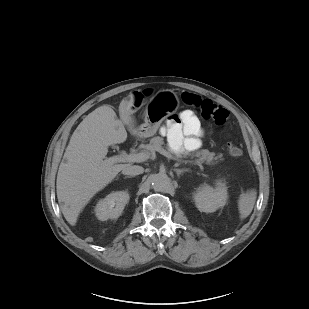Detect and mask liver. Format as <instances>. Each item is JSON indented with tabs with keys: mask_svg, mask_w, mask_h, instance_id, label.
I'll return each instance as SVG.
<instances>
[{
	"mask_svg": "<svg viewBox=\"0 0 309 309\" xmlns=\"http://www.w3.org/2000/svg\"><path fill=\"white\" fill-rule=\"evenodd\" d=\"M134 99H124L119 116L107 105L100 106L83 119L73 132L59 166L56 189L61 211L74 226L91 198L105 188L129 164L106 165L108 147L126 141L127 129L135 134Z\"/></svg>",
	"mask_w": 309,
	"mask_h": 309,
	"instance_id": "1",
	"label": "liver"
}]
</instances>
